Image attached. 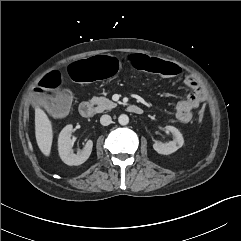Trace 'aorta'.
I'll return each mask as SVG.
<instances>
[{"label":"aorta","instance_id":"aorta-1","mask_svg":"<svg viewBox=\"0 0 241 241\" xmlns=\"http://www.w3.org/2000/svg\"><path fill=\"white\" fill-rule=\"evenodd\" d=\"M120 125H127L129 123V117L126 114H121L118 118Z\"/></svg>","mask_w":241,"mask_h":241}]
</instances>
